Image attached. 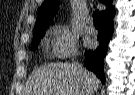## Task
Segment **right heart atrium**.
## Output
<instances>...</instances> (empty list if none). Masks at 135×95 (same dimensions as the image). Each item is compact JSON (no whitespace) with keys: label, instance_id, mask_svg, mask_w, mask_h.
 <instances>
[{"label":"right heart atrium","instance_id":"obj_1","mask_svg":"<svg viewBox=\"0 0 135 95\" xmlns=\"http://www.w3.org/2000/svg\"><path fill=\"white\" fill-rule=\"evenodd\" d=\"M51 52L57 59H66L76 54L77 39L64 25H55L50 30Z\"/></svg>","mask_w":135,"mask_h":95}]
</instances>
